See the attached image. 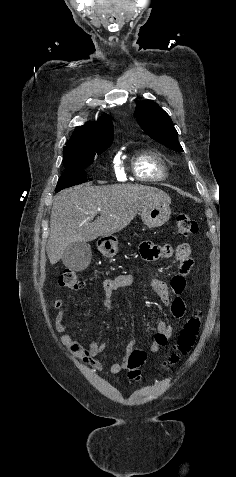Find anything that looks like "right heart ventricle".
Segmentation results:
<instances>
[{
  "mask_svg": "<svg viewBox=\"0 0 236 477\" xmlns=\"http://www.w3.org/2000/svg\"><path fill=\"white\" fill-rule=\"evenodd\" d=\"M132 171L138 180L146 182L159 181L167 177V168L160 154L155 151H146L134 156Z\"/></svg>",
  "mask_w": 236,
  "mask_h": 477,
  "instance_id": "1",
  "label": "right heart ventricle"
}]
</instances>
